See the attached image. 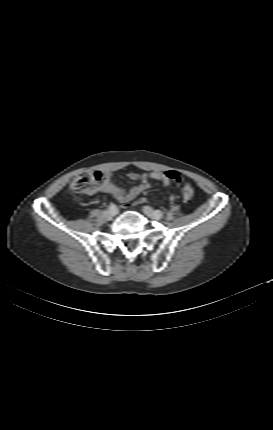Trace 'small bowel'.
Here are the masks:
<instances>
[{
  "label": "small bowel",
  "instance_id": "1",
  "mask_svg": "<svg viewBox=\"0 0 273 430\" xmlns=\"http://www.w3.org/2000/svg\"><path fill=\"white\" fill-rule=\"evenodd\" d=\"M128 177L134 181H137V185L133 186L129 190H125L113 182V176L110 172L102 173V182L97 187V190L102 193H106L114 197L121 203H128L129 201L136 198L140 193L150 187V181H158L163 186H169L171 182H178L180 176L175 171L166 172H151V173H128ZM174 195L171 194L170 198L174 199Z\"/></svg>",
  "mask_w": 273,
  "mask_h": 430
}]
</instances>
